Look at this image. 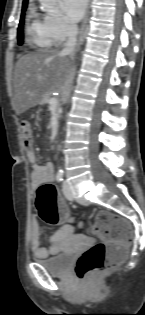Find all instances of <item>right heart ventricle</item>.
Returning <instances> with one entry per match:
<instances>
[{
    "label": "right heart ventricle",
    "mask_w": 145,
    "mask_h": 315,
    "mask_svg": "<svg viewBox=\"0 0 145 315\" xmlns=\"http://www.w3.org/2000/svg\"><path fill=\"white\" fill-rule=\"evenodd\" d=\"M26 32L29 45L37 51L48 50L56 43L47 28L45 20L34 10L27 16Z\"/></svg>",
    "instance_id": "right-heart-ventricle-1"
}]
</instances>
